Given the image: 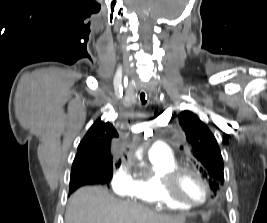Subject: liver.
Masks as SVG:
<instances>
[{"instance_id": "obj_1", "label": "liver", "mask_w": 267, "mask_h": 223, "mask_svg": "<svg viewBox=\"0 0 267 223\" xmlns=\"http://www.w3.org/2000/svg\"><path fill=\"white\" fill-rule=\"evenodd\" d=\"M65 223H185V217L157 213L92 186L80 188L70 197Z\"/></svg>"}]
</instances>
